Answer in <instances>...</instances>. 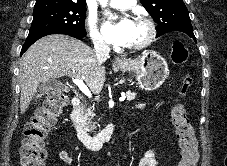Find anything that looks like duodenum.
I'll return each instance as SVG.
<instances>
[{"instance_id":"duodenum-1","label":"duodenum","mask_w":227,"mask_h":166,"mask_svg":"<svg viewBox=\"0 0 227 166\" xmlns=\"http://www.w3.org/2000/svg\"><path fill=\"white\" fill-rule=\"evenodd\" d=\"M71 112L70 120L77 132L79 140L85 145L89 150H99L102 146L108 142L114 132V127L112 124H108L104 127L97 135L89 134L86 129L79 123L78 116L82 107V100L79 98H74L71 102Z\"/></svg>"}]
</instances>
